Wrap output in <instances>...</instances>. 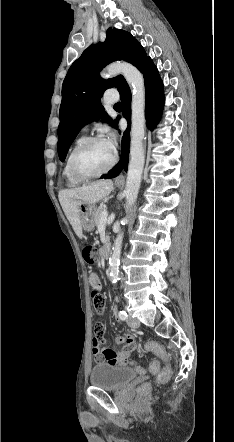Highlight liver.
<instances>
[{
	"label": "liver",
	"instance_id": "obj_1",
	"mask_svg": "<svg viewBox=\"0 0 234 442\" xmlns=\"http://www.w3.org/2000/svg\"><path fill=\"white\" fill-rule=\"evenodd\" d=\"M112 189L113 182L111 180H100L87 186L59 192L58 197L63 211L79 238L83 237L79 206L95 204L109 195Z\"/></svg>",
	"mask_w": 234,
	"mask_h": 442
}]
</instances>
